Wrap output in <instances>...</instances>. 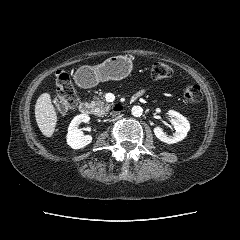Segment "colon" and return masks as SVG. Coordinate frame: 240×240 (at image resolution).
Returning <instances> with one entry per match:
<instances>
[{"instance_id": "obj_1", "label": "colon", "mask_w": 240, "mask_h": 240, "mask_svg": "<svg viewBox=\"0 0 240 240\" xmlns=\"http://www.w3.org/2000/svg\"><path fill=\"white\" fill-rule=\"evenodd\" d=\"M173 74L172 68L165 62H155L151 67V77L156 81L169 79ZM57 93L54 106L59 113H64L77 104V94L70 76L65 70H58L55 75ZM185 101L199 105L203 101V92L198 85L187 86L183 91Z\"/></svg>"}]
</instances>
